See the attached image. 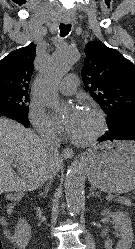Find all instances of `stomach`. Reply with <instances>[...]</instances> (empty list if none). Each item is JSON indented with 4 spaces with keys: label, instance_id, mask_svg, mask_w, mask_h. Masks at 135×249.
Wrapping results in <instances>:
<instances>
[{
    "label": "stomach",
    "instance_id": "obj_1",
    "mask_svg": "<svg viewBox=\"0 0 135 249\" xmlns=\"http://www.w3.org/2000/svg\"><path fill=\"white\" fill-rule=\"evenodd\" d=\"M85 167L89 181L110 193L135 189V142L108 141L86 153Z\"/></svg>",
    "mask_w": 135,
    "mask_h": 249
}]
</instances>
